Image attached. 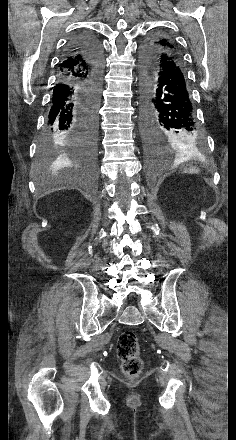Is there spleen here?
Returning a JSON list of instances; mask_svg holds the SVG:
<instances>
[{
  "instance_id": "1",
  "label": "spleen",
  "mask_w": 236,
  "mask_h": 440,
  "mask_svg": "<svg viewBox=\"0 0 236 440\" xmlns=\"http://www.w3.org/2000/svg\"><path fill=\"white\" fill-rule=\"evenodd\" d=\"M190 171H191V172H198L199 170L196 169V168H191Z\"/></svg>"
}]
</instances>
